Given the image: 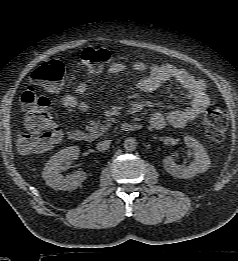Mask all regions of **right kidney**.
<instances>
[{
  "mask_svg": "<svg viewBox=\"0 0 238 261\" xmlns=\"http://www.w3.org/2000/svg\"><path fill=\"white\" fill-rule=\"evenodd\" d=\"M80 149L78 146L66 147L55 153L45 164L42 177L46 184L55 190H74L87 178L84 171H76L71 175L61 174V165L69 159H77Z\"/></svg>",
  "mask_w": 238,
  "mask_h": 261,
  "instance_id": "obj_1",
  "label": "right kidney"
}]
</instances>
